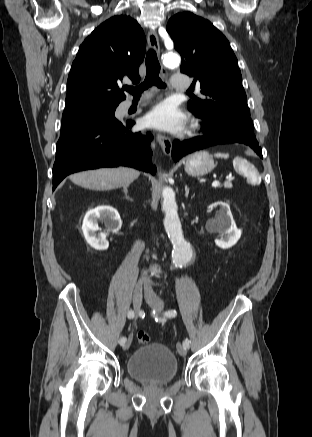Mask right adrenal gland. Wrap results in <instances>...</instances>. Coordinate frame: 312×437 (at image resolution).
I'll return each mask as SVG.
<instances>
[{"label": "right adrenal gland", "instance_id": "obj_1", "mask_svg": "<svg viewBox=\"0 0 312 437\" xmlns=\"http://www.w3.org/2000/svg\"><path fill=\"white\" fill-rule=\"evenodd\" d=\"M123 192H124V194L127 196V194H128V188H127V187H123Z\"/></svg>", "mask_w": 312, "mask_h": 437}]
</instances>
